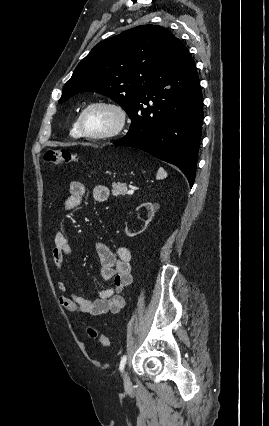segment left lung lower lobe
Returning a JSON list of instances; mask_svg holds the SVG:
<instances>
[{"label":"left lung lower lobe","instance_id":"obj_1","mask_svg":"<svg viewBox=\"0 0 269 426\" xmlns=\"http://www.w3.org/2000/svg\"><path fill=\"white\" fill-rule=\"evenodd\" d=\"M128 116L132 121L130 129L114 144L144 150L176 165L192 187L203 121V98L195 62L181 40L176 39L150 77L148 90Z\"/></svg>","mask_w":269,"mask_h":426}]
</instances>
